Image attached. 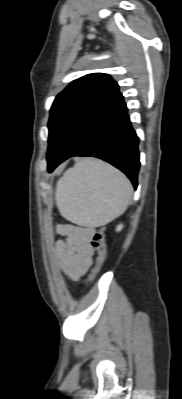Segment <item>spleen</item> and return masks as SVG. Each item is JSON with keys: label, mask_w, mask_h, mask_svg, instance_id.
Returning a JSON list of instances; mask_svg holds the SVG:
<instances>
[{"label": "spleen", "mask_w": 182, "mask_h": 399, "mask_svg": "<svg viewBox=\"0 0 182 399\" xmlns=\"http://www.w3.org/2000/svg\"><path fill=\"white\" fill-rule=\"evenodd\" d=\"M127 177L104 161H78L59 179L55 199L60 214L81 226H102L121 215L132 198Z\"/></svg>", "instance_id": "1"}]
</instances>
